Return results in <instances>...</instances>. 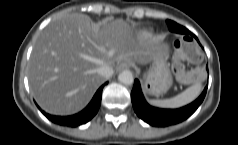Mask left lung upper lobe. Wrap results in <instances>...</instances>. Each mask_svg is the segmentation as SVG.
Here are the masks:
<instances>
[{"label": "left lung upper lobe", "mask_w": 238, "mask_h": 145, "mask_svg": "<svg viewBox=\"0 0 238 145\" xmlns=\"http://www.w3.org/2000/svg\"><path fill=\"white\" fill-rule=\"evenodd\" d=\"M169 30L172 31V28L175 26L171 20H167Z\"/></svg>", "instance_id": "obj_1"}]
</instances>
